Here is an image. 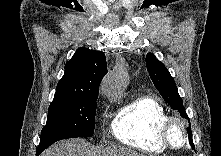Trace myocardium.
Here are the masks:
<instances>
[{
	"mask_svg": "<svg viewBox=\"0 0 221 156\" xmlns=\"http://www.w3.org/2000/svg\"><path fill=\"white\" fill-rule=\"evenodd\" d=\"M179 124L183 130V141L180 146H175L170 141V129L172 125ZM160 138L163 144L171 150H180L187 144L188 141V127L187 123L178 116H168V118L163 122L160 128Z\"/></svg>",
	"mask_w": 221,
	"mask_h": 156,
	"instance_id": "myocardium-1",
	"label": "myocardium"
}]
</instances>
